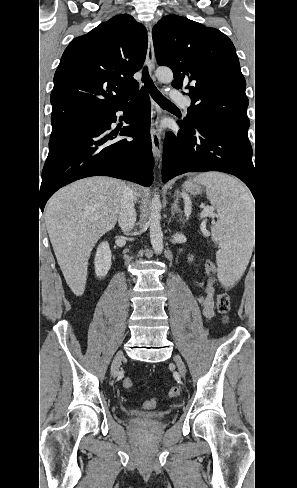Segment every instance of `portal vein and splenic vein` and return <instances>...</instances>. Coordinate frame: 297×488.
I'll list each match as a JSON object with an SVG mask.
<instances>
[{"instance_id":"obj_1","label":"portal vein and splenic vein","mask_w":297,"mask_h":488,"mask_svg":"<svg viewBox=\"0 0 297 488\" xmlns=\"http://www.w3.org/2000/svg\"><path fill=\"white\" fill-rule=\"evenodd\" d=\"M204 210L202 212V216H212V212H211V207L209 206H203ZM190 213H191V207L190 206H187L186 209H185V215L187 217L190 216Z\"/></svg>"}]
</instances>
